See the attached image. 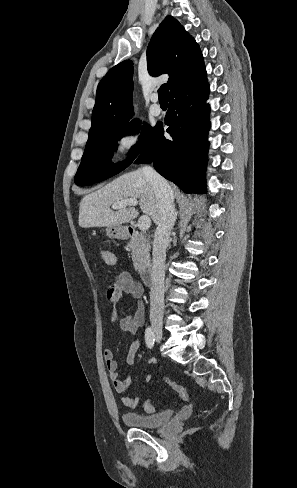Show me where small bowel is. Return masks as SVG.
<instances>
[{
	"label": "small bowel",
	"instance_id": "1",
	"mask_svg": "<svg viewBox=\"0 0 297 488\" xmlns=\"http://www.w3.org/2000/svg\"><path fill=\"white\" fill-rule=\"evenodd\" d=\"M105 257L102 261L107 265H115L116 264V256L109 251H104ZM144 294L143 286L132 279V277L126 273L122 272L118 275L117 280L115 282V292L110 297V300L113 303L119 302L125 295H130L137 302V309L134 315H125L118 320V324L121 330L134 334L136 330L144 324L145 321V308L144 303L142 301V297ZM140 342L138 339L134 340L128 350L126 355V364L131 366L135 362L136 353L139 349ZM103 358L106 364L107 372L109 379L117 393L121 395V402L130 408L136 407L140 396H136L131 398L127 396V392L131 388V380L129 377H120L118 373V363L114 358L113 351L111 349H105L103 351ZM149 364L151 366L156 364V359L151 358L149 360ZM152 379V376L147 374L144 377V381L149 383Z\"/></svg>",
	"mask_w": 297,
	"mask_h": 488
}]
</instances>
